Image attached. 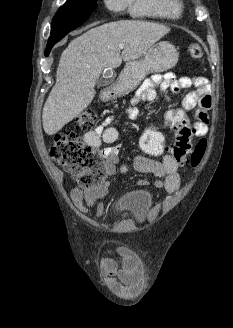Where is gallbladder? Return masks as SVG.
Returning <instances> with one entry per match:
<instances>
[{
  "instance_id": "obj_1",
  "label": "gallbladder",
  "mask_w": 233,
  "mask_h": 328,
  "mask_svg": "<svg viewBox=\"0 0 233 328\" xmlns=\"http://www.w3.org/2000/svg\"><path fill=\"white\" fill-rule=\"evenodd\" d=\"M109 83V80L106 79L105 77H100L98 80V85L99 86H104L107 85Z\"/></svg>"
}]
</instances>
